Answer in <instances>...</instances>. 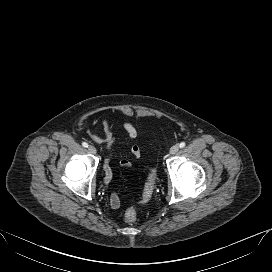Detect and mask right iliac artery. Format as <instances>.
<instances>
[{"label":"right iliac artery","mask_w":272,"mask_h":272,"mask_svg":"<svg viewBox=\"0 0 272 272\" xmlns=\"http://www.w3.org/2000/svg\"><path fill=\"white\" fill-rule=\"evenodd\" d=\"M82 146L85 147V148H87V147H88V143L83 142V143H82ZM106 175H108V174H107V171H106Z\"/></svg>","instance_id":"1"}]
</instances>
